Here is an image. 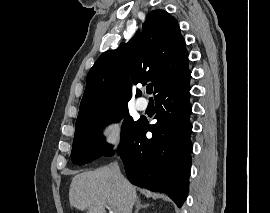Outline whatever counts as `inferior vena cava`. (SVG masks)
<instances>
[{
	"mask_svg": "<svg viewBox=\"0 0 270 213\" xmlns=\"http://www.w3.org/2000/svg\"><path fill=\"white\" fill-rule=\"evenodd\" d=\"M111 170H112V173H113L115 178L120 179V180L123 179V176L120 172V168H119L117 162H114L113 164H111Z\"/></svg>",
	"mask_w": 270,
	"mask_h": 213,
	"instance_id": "inferior-vena-cava-1",
	"label": "inferior vena cava"
}]
</instances>
